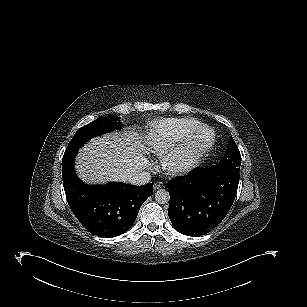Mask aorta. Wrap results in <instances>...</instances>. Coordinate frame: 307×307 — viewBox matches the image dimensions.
Instances as JSON below:
<instances>
[{
    "label": "aorta",
    "mask_w": 307,
    "mask_h": 307,
    "mask_svg": "<svg viewBox=\"0 0 307 307\" xmlns=\"http://www.w3.org/2000/svg\"><path fill=\"white\" fill-rule=\"evenodd\" d=\"M155 200L159 203V204H166L170 201V194L167 190L165 189H159L158 191H156L155 193Z\"/></svg>",
    "instance_id": "1"
}]
</instances>
